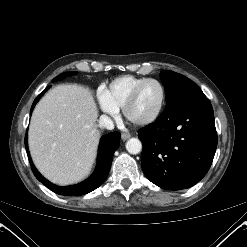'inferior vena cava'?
I'll return each mask as SVG.
<instances>
[{
    "instance_id": "obj_1",
    "label": "inferior vena cava",
    "mask_w": 247,
    "mask_h": 247,
    "mask_svg": "<svg viewBox=\"0 0 247 247\" xmlns=\"http://www.w3.org/2000/svg\"><path fill=\"white\" fill-rule=\"evenodd\" d=\"M98 122L101 128H105L108 130H112L114 128L113 121L106 115H101Z\"/></svg>"
}]
</instances>
